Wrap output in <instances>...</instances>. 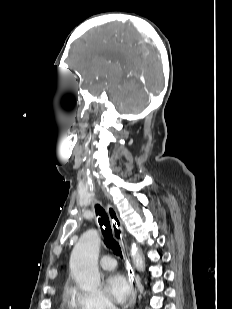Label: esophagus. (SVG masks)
<instances>
[{"label": "esophagus", "instance_id": "1", "mask_svg": "<svg viewBox=\"0 0 232 309\" xmlns=\"http://www.w3.org/2000/svg\"><path fill=\"white\" fill-rule=\"evenodd\" d=\"M107 213L108 216L111 220V225H112V230L115 239L120 243L124 261L126 264V269H127V276H128V281L131 286V297L128 302V308L132 309L136 303V295H137V286L135 285L134 281V270L129 262L128 258V253H127V244L125 242V236H124V230H123V225L122 221L120 220L116 210L113 208V206L108 205L107 208Z\"/></svg>", "mask_w": 232, "mask_h": 309}]
</instances>
